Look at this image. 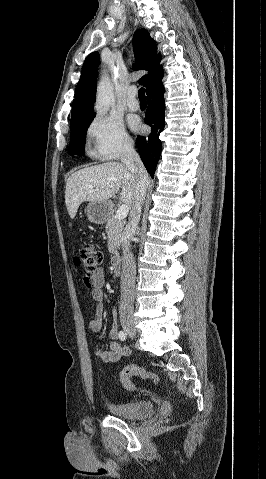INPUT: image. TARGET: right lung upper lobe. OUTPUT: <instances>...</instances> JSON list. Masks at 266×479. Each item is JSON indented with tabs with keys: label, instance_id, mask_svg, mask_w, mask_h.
<instances>
[{
	"label": "right lung upper lobe",
	"instance_id": "1",
	"mask_svg": "<svg viewBox=\"0 0 266 479\" xmlns=\"http://www.w3.org/2000/svg\"><path fill=\"white\" fill-rule=\"evenodd\" d=\"M133 47L136 64L134 70H148V74L139 79V84L146 87V92L162 81L163 69L159 65L161 55L157 54L155 41L145 29H139L133 36ZM99 53L93 52L87 56L82 67L80 80L76 86L73 100L71 123L95 116L93 112L96 97L97 70Z\"/></svg>",
	"mask_w": 266,
	"mask_h": 479
}]
</instances>
